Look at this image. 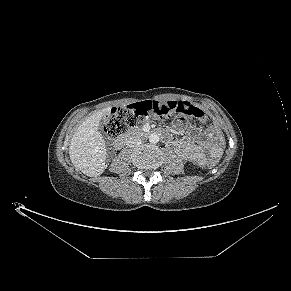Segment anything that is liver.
<instances>
[{
    "label": "liver",
    "instance_id": "6515ba94",
    "mask_svg": "<svg viewBox=\"0 0 291 291\" xmlns=\"http://www.w3.org/2000/svg\"><path fill=\"white\" fill-rule=\"evenodd\" d=\"M109 107L88 117L75 131L69 146L72 164L87 176L96 177L106 168L107 150L104 138L98 131L100 121Z\"/></svg>",
    "mask_w": 291,
    "mask_h": 291
}]
</instances>
